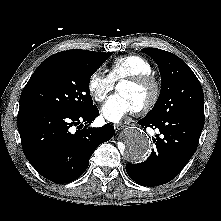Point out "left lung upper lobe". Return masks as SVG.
<instances>
[{"label": "left lung upper lobe", "instance_id": "1", "mask_svg": "<svg viewBox=\"0 0 221 221\" xmlns=\"http://www.w3.org/2000/svg\"><path fill=\"white\" fill-rule=\"evenodd\" d=\"M157 63L161 74V92L146 118L159 120L185 114L204 120V95L190 67L176 55L157 48H144Z\"/></svg>", "mask_w": 221, "mask_h": 221}]
</instances>
